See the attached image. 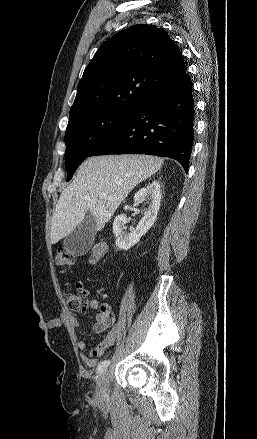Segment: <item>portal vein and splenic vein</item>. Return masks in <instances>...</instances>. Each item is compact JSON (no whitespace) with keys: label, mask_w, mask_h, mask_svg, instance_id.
Listing matches in <instances>:
<instances>
[{"label":"portal vein and splenic vein","mask_w":257,"mask_h":439,"mask_svg":"<svg viewBox=\"0 0 257 439\" xmlns=\"http://www.w3.org/2000/svg\"><path fill=\"white\" fill-rule=\"evenodd\" d=\"M99 198H100V199H108V200H112V199H113V197L108 196V195L105 194V193L100 194V195H99Z\"/></svg>","instance_id":"obj_1"}]
</instances>
